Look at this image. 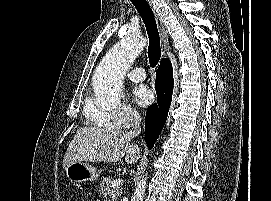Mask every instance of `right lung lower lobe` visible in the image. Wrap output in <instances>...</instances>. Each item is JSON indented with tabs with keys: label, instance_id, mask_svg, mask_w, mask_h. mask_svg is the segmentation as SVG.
Wrapping results in <instances>:
<instances>
[{
	"label": "right lung lower lobe",
	"instance_id": "obj_1",
	"mask_svg": "<svg viewBox=\"0 0 271 201\" xmlns=\"http://www.w3.org/2000/svg\"><path fill=\"white\" fill-rule=\"evenodd\" d=\"M157 104L148 108L145 119V140L151 149L167 119L173 92V71L169 59L160 63L156 73Z\"/></svg>",
	"mask_w": 271,
	"mask_h": 201
}]
</instances>
